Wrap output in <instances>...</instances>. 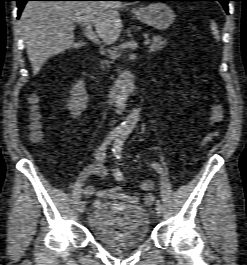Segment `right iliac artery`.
Instances as JSON below:
<instances>
[{
    "instance_id": "obj_1",
    "label": "right iliac artery",
    "mask_w": 247,
    "mask_h": 265,
    "mask_svg": "<svg viewBox=\"0 0 247 265\" xmlns=\"http://www.w3.org/2000/svg\"><path fill=\"white\" fill-rule=\"evenodd\" d=\"M121 135L119 131H112L110 135L104 140V142L99 146L96 151L95 158L99 163L104 162L106 158V149L111 140L118 138ZM100 204L99 200H94L93 206L97 207Z\"/></svg>"
}]
</instances>
